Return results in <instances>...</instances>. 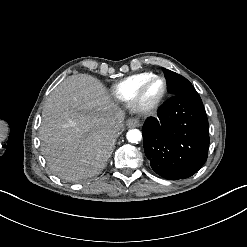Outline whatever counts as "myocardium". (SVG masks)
Segmentation results:
<instances>
[{"mask_svg":"<svg viewBox=\"0 0 247 247\" xmlns=\"http://www.w3.org/2000/svg\"><path fill=\"white\" fill-rule=\"evenodd\" d=\"M160 80L164 83V90L162 94L153 102L145 103L143 95L145 88L153 81ZM168 82L165 77L160 75H153L143 80L136 88L132 99L129 102V110L138 115H149L154 112L165 100L168 94Z\"/></svg>","mask_w":247,"mask_h":247,"instance_id":"f54148a6","label":"myocardium"}]
</instances>
